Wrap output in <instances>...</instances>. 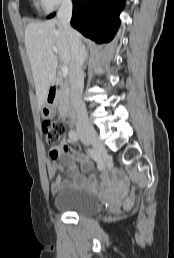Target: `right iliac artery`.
<instances>
[{
  "mask_svg": "<svg viewBox=\"0 0 174 258\" xmlns=\"http://www.w3.org/2000/svg\"><path fill=\"white\" fill-rule=\"evenodd\" d=\"M69 137L73 141H78V134L75 131H70ZM88 154L97 162V166H98L99 170H103L105 164H104V161L102 160L100 154L93 149H88Z\"/></svg>",
  "mask_w": 174,
  "mask_h": 258,
  "instance_id": "obj_1",
  "label": "right iliac artery"
}]
</instances>
